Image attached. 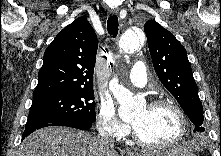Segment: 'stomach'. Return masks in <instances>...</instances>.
I'll return each mask as SVG.
<instances>
[{"label": "stomach", "mask_w": 221, "mask_h": 156, "mask_svg": "<svg viewBox=\"0 0 221 156\" xmlns=\"http://www.w3.org/2000/svg\"><path fill=\"white\" fill-rule=\"evenodd\" d=\"M158 156H196L192 150L186 149V146H178L160 151Z\"/></svg>", "instance_id": "stomach-1"}]
</instances>
